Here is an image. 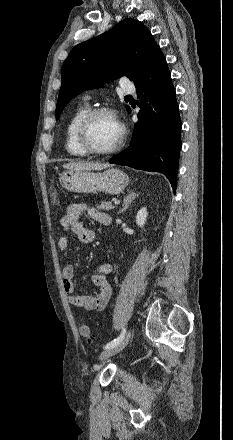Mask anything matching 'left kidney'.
Listing matches in <instances>:
<instances>
[{
    "label": "left kidney",
    "instance_id": "left-kidney-1",
    "mask_svg": "<svg viewBox=\"0 0 233 440\" xmlns=\"http://www.w3.org/2000/svg\"><path fill=\"white\" fill-rule=\"evenodd\" d=\"M147 216H148V212L145 207L140 209V211H138L137 216H136V223L140 228H143V226L146 222Z\"/></svg>",
    "mask_w": 233,
    "mask_h": 440
}]
</instances>
